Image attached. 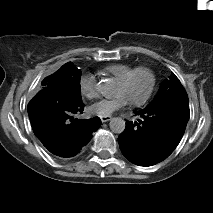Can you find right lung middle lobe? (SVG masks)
I'll use <instances>...</instances> for the list:
<instances>
[{
  "label": "right lung middle lobe",
  "instance_id": "obj_1",
  "mask_svg": "<svg viewBox=\"0 0 213 213\" xmlns=\"http://www.w3.org/2000/svg\"><path fill=\"white\" fill-rule=\"evenodd\" d=\"M80 76L81 71L78 70L73 63L68 62L54 74L46 77L42 81V85L45 87H58L64 89L71 95L81 98L79 85Z\"/></svg>",
  "mask_w": 213,
  "mask_h": 213
}]
</instances>
